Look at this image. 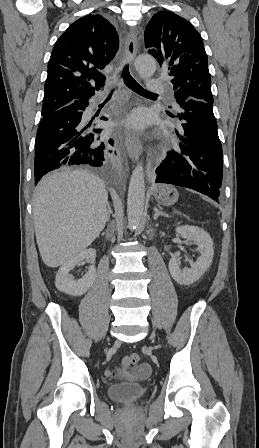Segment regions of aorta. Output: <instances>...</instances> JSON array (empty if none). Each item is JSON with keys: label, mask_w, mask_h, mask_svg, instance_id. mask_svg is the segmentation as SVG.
Here are the masks:
<instances>
[{"label": "aorta", "mask_w": 259, "mask_h": 448, "mask_svg": "<svg viewBox=\"0 0 259 448\" xmlns=\"http://www.w3.org/2000/svg\"><path fill=\"white\" fill-rule=\"evenodd\" d=\"M135 66L142 77H150L156 70V61L149 55H140L136 58ZM145 200V181L142 163H139L132 172L127 199L128 227L136 230L139 226Z\"/></svg>", "instance_id": "aorta-1"}]
</instances>
